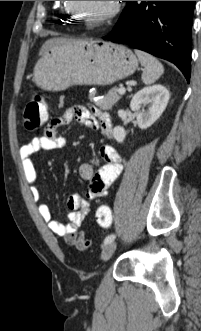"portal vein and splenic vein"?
Listing matches in <instances>:
<instances>
[{
	"mask_svg": "<svg viewBox=\"0 0 201 331\" xmlns=\"http://www.w3.org/2000/svg\"><path fill=\"white\" fill-rule=\"evenodd\" d=\"M125 92H126V89H125V88H119V89H118V93H119L120 95L125 94Z\"/></svg>",
	"mask_w": 201,
	"mask_h": 331,
	"instance_id": "obj_1",
	"label": "portal vein and splenic vein"
}]
</instances>
